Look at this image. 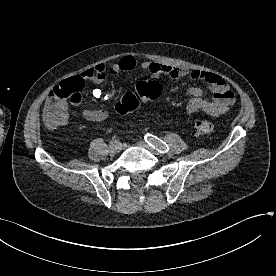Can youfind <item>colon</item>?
I'll return each mask as SVG.
<instances>
[{
    "mask_svg": "<svg viewBox=\"0 0 276 276\" xmlns=\"http://www.w3.org/2000/svg\"><path fill=\"white\" fill-rule=\"evenodd\" d=\"M83 84L81 79L74 77L62 81L51 90L49 94L50 105L48 109H44V120L48 127L56 128L65 124L67 120L65 104L67 100H79ZM161 93L162 88L158 82H139L134 92L126 93L116 103V111L123 115L129 114L137 109L141 103L158 99ZM214 129L215 125L210 120L198 118L194 121V130L197 134H210Z\"/></svg>",
    "mask_w": 276,
    "mask_h": 276,
    "instance_id": "colon-1",
    "label": "colon"
}]
</instances>
